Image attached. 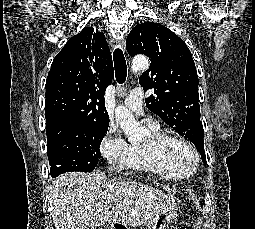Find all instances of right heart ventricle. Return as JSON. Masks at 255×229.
I'll return each mask as SVG.
<instances>
[{
    "mask_svg": "<svg viewBox=\"0 0 255 229\" xmlns=\"http://www.w3.org/2000/svg\"><path fill=\"white\" fill-rule=\"evenodd\" d=\"M153 136L159 135L158 128H150ZM128 168L155 173L167 179H178L189 176L193 171L188 169H172L161 160L149 145V140L142 144L129 145L128 152L124 161Z\"/></svg>",
    "mask_w": 255,
    "mask_h": 229,
    "instance_id": "e07e8e85",
    "label": "right heart ventricle"
}]
</instances>
